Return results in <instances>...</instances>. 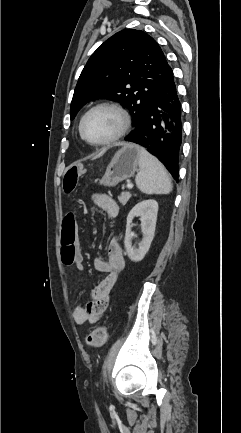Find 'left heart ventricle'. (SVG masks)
Instances as JSON below:
<instances>
[{
    "mask_svg": "<svg viewBox=\"0 0 241 433\" xmlns=\"http://www.w3.org/2000/svg\"><path fill=\"white\" fill-rule=\"evenodd\" d=\"M119 126L120 119L116 113L100 109L87 117L83 125V133L89 141L99 142L114 135Z\"/></svg>",
    "mask_w": 241,
    "mask_h": 433,
    "instance_id": "left-heart-ventricle-1",
    "label": "left heart ventricle"
}]
</instances>
